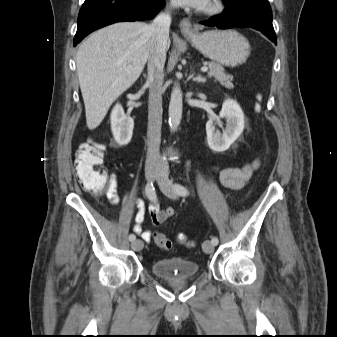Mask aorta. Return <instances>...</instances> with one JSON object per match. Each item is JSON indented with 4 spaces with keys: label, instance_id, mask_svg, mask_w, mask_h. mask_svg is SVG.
Returning a JSON list of instances; mask_svg holds the SVG:
<instances>
[{
    "label": "aorta",
    "instance_id": "aorta-1",
    "mask_svg": "<svg viewBox=\"0 0 337 337\" xmlns=\"http://www.w3.org/2000/svg\"><path fill=\"white\" fill-rule=\"evenodd\" d=\"M182 91L178 84L172 90L169 103V125L172 131L176 130L182 118Z\"/></svg>",
    "mask_w": 337,
    "mask_h": 337
}]
</instances>
